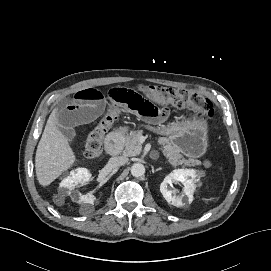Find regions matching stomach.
<instances>
[{
    "mask_svg": "<svg viewBox=\"0 0 271 271\" xmlns=\"http://www.w3.org/2000/svg\"><path fill=\"white\" fill-rule=\"evenodd\" d=\"M171 145L190 158H199L206 153L208 147V127L205 121L196 117L176 121L164 130Z\"/></svg>",
    "mask_w": 271,
    "mask_h": 271,
    "instance_id": "1",
    "label": "stomach"
}]
</instances>
